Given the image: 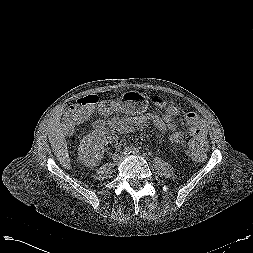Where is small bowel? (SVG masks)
<instances>
[{
    "instance_id": "c3829d8e",
    "label": "small bowel",
    "mask_w": 253,
    "mask_h": 253,
    "mask_svg": "<svg viewBox=\"0 0 253 253\" xmlns=\"http://www.w3.org/2000/svg\"><path fill=\"white\" fill-rule=\"evenodd\" d=\"M152 119L160 132L171 134V140L173 142H178L181 139L182 134L175 129L172 123L159 117H152Z\"/></svg>"
}]
</instances>
